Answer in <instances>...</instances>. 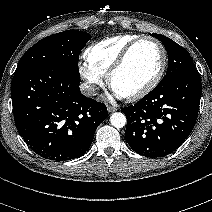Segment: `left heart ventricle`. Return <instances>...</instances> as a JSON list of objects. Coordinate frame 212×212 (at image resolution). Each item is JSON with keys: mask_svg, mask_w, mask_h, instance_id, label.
<instances>
[{"mask_svg": "<svg viewBox=\"0 0 212 212\" xmlns=\"http://www.w3.org/2000/svg\"><path fill=\"white\" fill-rule=\"evenodd\" d=\"M161 64L159 48L149 42L137 45L124 67L114 76L112 88L122 96H128L148 84Z\"/></svg>", "mask_w": 212, "mask_h": 212, "instance_id": "left-heart-ventricle-1", "label": "left heart ventricle"}]
</instances>
